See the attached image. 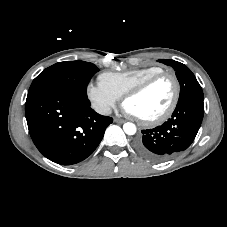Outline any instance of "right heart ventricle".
I'll use <instances>...</instances> for the list:
<instances>
[{
    "label": "right heart ventricle",
    "mask_w": 227,
    "mask_h": 227,
    "mask_svg": "<svg viewBox=\"0 0 227 227\" xmlns=\"http://www.w3.org/2000/svg\"><path fill=\"white\" fill-rule=\"evenodd\" d=\"M162 71L161 67L148 66L125 72H104L99 82L120 98L132 87Z\"/></svg>",
    "instance_id": "e07e8e85"
}]
</instances>
